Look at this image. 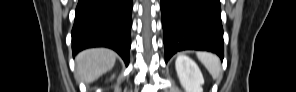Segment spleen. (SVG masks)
I'll list each match as a JSON object with an SVG mask.
<instances>
[{
	"mask_svg": "<svg viewBox=\"0 0 296 92\" xmlns=\"http://www.w3.org/2000/svg\"><path fill=\"white\" fill-rule=\"evenodd\" d=\"M197 57L207 68L213 79H217L221 72V63L219 58L216 55L207 52H198Z\"/></svg>",
	"mask_w": 296,
	"mask_h": 92,
	"instance_id": "1",
	"label": "spleen"
}]
</instances>
